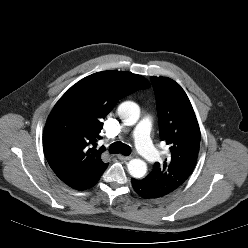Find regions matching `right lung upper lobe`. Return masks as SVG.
I'll return each mask as SVG.
<instances>
[{
    "instance_id": "obj_1",
    "label": "right lung upper lobe",
    "mask_w": 248,
    "mask_h": 248,
    "mask_svg": "<svg viewBox=\"0 0 248 248\" xmlns=\"http://www.w3.org/2000/svg\"><path fill=\"white\" fill-rule=\"evenodd\" d=\"M149 87L140 75L108 70L81 79L59 99L43 134L46 159L59 179L76 190L97 183L108 166L101 160L105 148L96 149L102 120L120 99Z\"/></svg>"
}]
</instances>
